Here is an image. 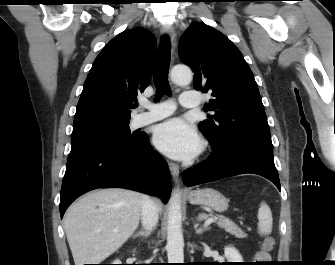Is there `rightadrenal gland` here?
Listing matches in <instances>:
<instances>
[{"label":"right adrenal gland","mask_w":335,"mask_h":265,"mask_svg":"<svg viewBox=\"0 0 335 265\" xmlns=\"http://www.w3.org/2000/svg\"><path fill=\"white\" fill-rule=\"evenodd\" d=\"M150 233H151L150 230H140L139 232L134 234L133 238H136V237L147 238L150 235Z\"/></svg>","instance_id":"obj_1"}]
</instances>
